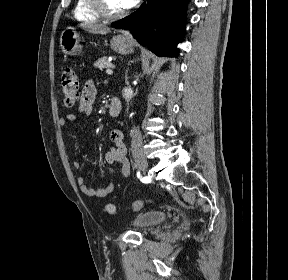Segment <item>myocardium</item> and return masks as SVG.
Listing matches in <instances>:
<instances>
[{
	"label": "myocardium",
	"instance_id": "obj_1",
	"mask_svg": "<svg viewBox=\"0 0 288 280\" xmlns=\"http://www.w3.org/2000/svg\"><path fill=\"white\" fill-rule=\"evenodd\" d=\"M89 4L94 13L103 19L114 20L125 15L124 11L110 12L106 7L105 0H89Z\"/></svg>",
	"mask_w": 288,
	"mask_h": 280
}]
</instances>
